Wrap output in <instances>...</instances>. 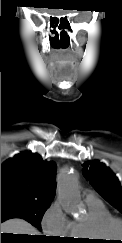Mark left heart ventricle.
<instances>
[{"mask_svg":"<svg viewBox=\"0 0 122 243\" xmlns=\"http://www.w3.org/2000/svg\"><path fill=\"white\" fill-rule=\"evenodd\" d=\"M109 235L113 237H121L122 228H120L119 226H113L109 231Z\"/></svg>","mask_w":122,"mask_h":243,"instance_id":"obj_1","label":"left heart ventricle"}]
</instances>
